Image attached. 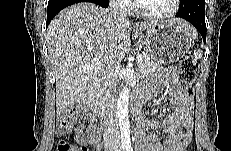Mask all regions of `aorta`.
I'll list each match as a JSON object with an SVG mask.
<instances>
[{
	"label": "aorta",
	"instance_id": "obj_1",
	"mask_svg": "<svg viewBox=\"0 0 231 151\" xmlns=\"http://www.w3.org/2000/svg\"><path fill=\"white\" fill-rule=\"evenodd\" d=\"M130 89L125 86L119 95L117 101V114L119 119V128L123 144H130V128L128 118V102Z\"/></svg>",
	"mask_w": 231,
	"mask_h": 151
}]
</instances>
